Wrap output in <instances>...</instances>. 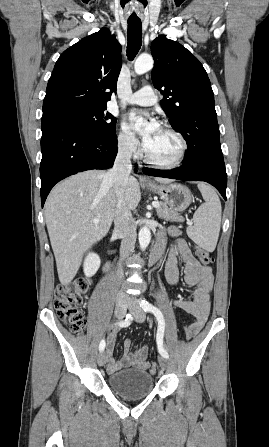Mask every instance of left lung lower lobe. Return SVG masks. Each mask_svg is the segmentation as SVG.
I'll return each mask as SVG.
<instances>
[{
  "mask_svg": "<svg viewBox=\"0 0 269 447\" xmlns=\"http://www.w3.org/2000/svg\"><path fill=\"white\" fill-rule=\"evenodd\" d=\"M146 175L188 181H205L218 189L226 200L227 175L222 152L203 154L172 170L143 168Z\"/></svg>",
  "mask_w": 269,
  "mask_h": 447,
  "instance_id": "1",
  "label": "left lung lower lobe"
}]
</instances>
